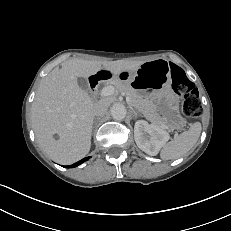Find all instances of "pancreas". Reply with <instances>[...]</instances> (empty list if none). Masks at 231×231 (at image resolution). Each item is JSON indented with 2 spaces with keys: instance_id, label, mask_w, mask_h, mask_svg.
<instances>
[{
  "instance_id": "obj_1",
  "label": "pancreas",
  "mask_w": 231,
  "mask_h": 231,
  "mask_svg": "<svg viewBox=\"0 0 231 231\" xmlns=\"http://www.w3.org/2000/svg\"><path fill=\"white\" fill-rule=\"evenodd\" d=\"M113 87L119 92L126 94L130 99V104L141 111L147 120L155 125L163 126L157 114L152 110L150 101L144 99L135 89H133L127 82L122 80H113L111 82Z\"/></svg>"
}]
</instances>
